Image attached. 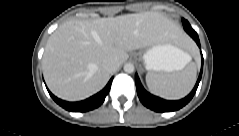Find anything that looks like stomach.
I'll list each match as a JSON object with an SVG mask.
<instances>
[{
    "mask_svg": "<svg viewBox=\"0 0 239 136\" xmlns=\"http://www.w3.org/2000/svg\"><path fill=\"white\" fill-rule=\"evenodd\" d=\"M187 53L170 42H162L136 55L143 60L145 69L151 72L169 73L179 71L188 61Z\"/></svg>",
    "mask_w": 239,
    "mask_h": 136,
    "instance_id": "0dacf381",
    "label": "stomach"
}]
</instances>
